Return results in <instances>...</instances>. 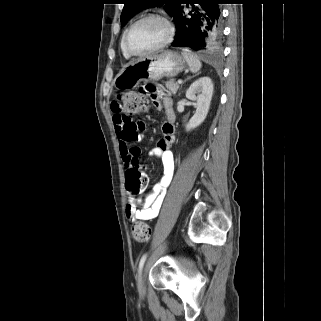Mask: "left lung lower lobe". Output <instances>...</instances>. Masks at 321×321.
Listing matches in <instances>:
<instances>
[{"label":"left lung lower lobe","mask_w":321,"mask_h":321,"mask_svg":"<svg viewBox=\"0 0 321 321\" xmlns=\"http://www.w3.org/2000/svg\"><path fill=\"white\" fill-rule=\"evenodd\" d=\"M181 4L191 5L192 10L185 13L182 6L178 8L174 16L176 35L172 46L219 53L223 40L219 4H223V0H184Z\"/></svg>","instance_id":"left-lung-lower-lobe-1"}]
</instances>
